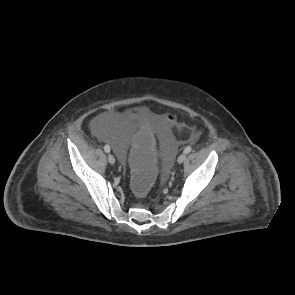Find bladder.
<instances>
[{"instance_id":"obj_1","label":"bladder","mask_w":295,"mask_h":295,"mask_svg":"<svg viewBox=\"0 0 295 295\" xmlns=\"http://www.w3.org/2000/svg\"><path fill=\"white\" fill-rule=\"evenodd\" d=\"M146 120L151 122L154 138L158 144H161L157 154L162 160V173L168 175L172 171L171 162L176 158L178 141L171 136L173 131L165 117L148 116ZM134 122L133 117H128L123 125H119L112 114L103 113L95 117L90 125L92 132L100 142L107 145L112 144L111 152L116 159L122 160L128 156L129 169L134 144L131 139V127Z\"/></svg>"}]
</instances>
